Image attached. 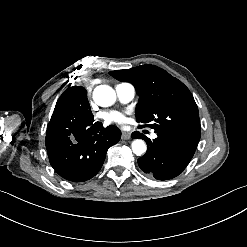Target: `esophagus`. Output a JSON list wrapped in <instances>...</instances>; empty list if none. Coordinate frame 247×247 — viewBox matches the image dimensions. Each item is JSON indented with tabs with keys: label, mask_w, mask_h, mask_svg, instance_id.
I'll list each match as a JSON object with an SVG mask.
<instances>
[{
	"label": "esophagus",
	"mask_w": 247,
	"mask_h": 247,
	"mask_svg": "<svg viewBox=\"0 0 247 247\" xmlns=\"http://www.w3.org/2000/svg\"><path fill=\"white\" fill-rule=\"evenodd\" d=\"M131 137V133L130 132H122V139L124 140H128Z\"/></svg>",
	"instance_id": "esophagus-1"
}]
</instances>
